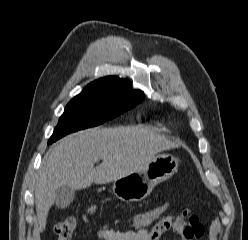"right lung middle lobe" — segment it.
<instances>
[{
	"label": "right lung middle lobe",
	"mask_w": 248,
	"mask_h": 240,
	"mask_svg": "<svg viewBox=\"0 0 248 240\" xmlns=\"http://www.w3.org/2000/svg\"><path fill=\"white\" fill-rule=\"evenodd\" d=\"M143 98L144 93L140 90H133L129 83L112 90H83L65 107V111L60 117L48 144L71 132L112 120L134 107Z\"/></svg>",
	"instance_id": "1"
}]
</instances>
